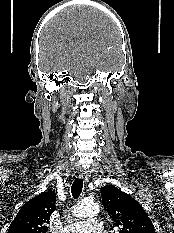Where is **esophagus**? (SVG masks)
Segmentation results:
<instances>
[{"label":"esophagus","instance_id":"obj_1","mask_svg":"<svg viewBox=\"0 0 174 233\" xmlns=\"http://www.w3.org/2000/svg\"><path fill=\"white\" fill-rule=\"evenodd\" d=\"M79 178L84 179L85 182H88V175L84 170H80L78 174Z\"/></svg>","mask_w":174,"mask_h":233}]
</instances>
